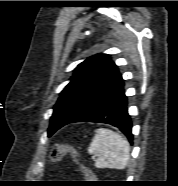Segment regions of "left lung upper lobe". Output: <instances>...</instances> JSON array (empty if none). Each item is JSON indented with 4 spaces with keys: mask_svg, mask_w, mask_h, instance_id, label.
I'll list each match as a JSON object with an SVG mask.
<instances>
[{
    "mask_svg": "<svg viewBox=\"0 0 178 186\" xmlns=\"http://www.w3.org/2000/svg\"><path fill=\"white\" fill-rule=\"evenodd\" d=\"M124 86L117 65L108 54H97L80 63L54 106L48 136L80 113Z\"/></svg>",
    "mask_w": 178,
    "mask_h": 186,
    "instance_id": "5c2ea615",
    "label": "left lung upper lobe"
}]
</instances>
